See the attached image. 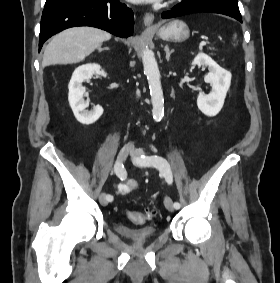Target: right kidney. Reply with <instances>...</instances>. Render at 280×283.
<instances>
[{
  "instance_id": "obj_1",
  "label": "right kidney",
  "mask_w": 280,
  "mask_h": 283,
  "mask_svg": "<svg viewBox=\"0 0 280 283\" xmlns=\"http://www.w3.org/2000/svg\"><path fill=\"white\" fill-rule=\"evenodd\" d=\"M94 74H99L103 77L107 76L106 72L98 64L81 65L73 72L68 85L70 107L77 121L85 125L93 124L103 114V108L99 105L91 111L87 110L89 103L83 99L86 89L82 86V83L90 79Z\"/></svg>"
}]
</instances>
